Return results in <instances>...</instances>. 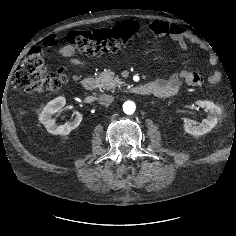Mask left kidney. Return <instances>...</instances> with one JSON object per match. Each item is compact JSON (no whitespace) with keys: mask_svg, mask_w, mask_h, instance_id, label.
<instances>
[{"mask_svg":"<svg viewBox=\"0 0 236 236\" xmlns=\"http://www.w3.org/2000/svg\"><path fill=\"white\" fill-rule=\"evenodd\" d=\"M196 104L205 109L208 112L206 119H203L202 123L193 126L189 122H185L184 130L194 136H201L210 132L218 123V119L222 114V110L219 106L208 100H199Z\"/></svg>","mask_w":236,"mask_h":236,"instance_id":"obj_1","label":"left kidney"}]
</instances>
